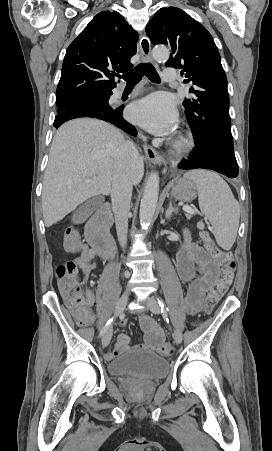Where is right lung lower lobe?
Instances as JSON below:
<instances>
[{"label":"right lung lower lobe","mask_w":272,"mask_h":451,"mask_svg":"<svg viewBox=\"0 0 272 451\" xmlns=\"http://www.w3.org/2000/svg\"><path fill=\"white\" fill-rule=\"evenodd\" d=\"M101 95H107L110 97L112 92L101 93ZM101 106L102 104L98 100L68 105L62 112L56 115L54 126L58 128L61 124L68 120L81 117H91L109 122L131 135L137 134L135 127L122 117L123 108H113V110L108 111L103 109Z\"/></svg>","instance_id":"obj_1"}]
</instances>
